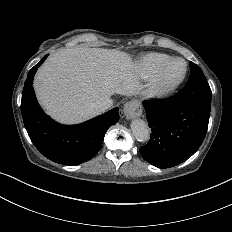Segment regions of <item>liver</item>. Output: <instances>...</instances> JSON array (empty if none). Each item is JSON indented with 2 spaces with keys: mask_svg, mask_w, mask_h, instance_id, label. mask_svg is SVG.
Masks as SVG:
<instances>
[{
  "mask_svg": "<svg viewBox=\"0 0 232 232\" xmlns=\"http://www.w3.org/2000/svg\"><path fill=\"white\" fill-rule=\"evenodd\" d=\"M129 57L117 50L61 49L37 72L35 90L46 111L62 122L98 115L95 106L111 96L129 95L134 87Z\"/></svg>",
  "mask_w": 232,
  "mask_h": 232,
  "instance_id": "6515ba94",
  "label": "liver"
}]
</instances>
